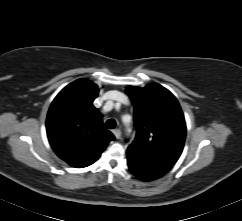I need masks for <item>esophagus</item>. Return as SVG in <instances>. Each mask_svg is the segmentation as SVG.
Listing matches in <instances>:
<instances>
[{
  "mask_svg": "<svg viewBox=\"0 0 242 221\" xmlns=\"http://www.w3.org/2000/svg\"><path fill=\"white\" fill-rule=\"evenodd\" d=\"M113 134L117 139H119L121 137V130L115 129L113 130Z\"/></svg>",
  "mask_w": 242,
  "mask_h": 221,
  "instance_id": "1",
  "label": "esophagus"
}]
</instances>
